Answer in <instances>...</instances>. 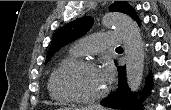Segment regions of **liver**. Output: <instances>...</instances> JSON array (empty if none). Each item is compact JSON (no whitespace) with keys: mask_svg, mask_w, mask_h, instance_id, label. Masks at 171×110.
<instances>
[{"mask_svg":"<svg viewBox=\"0 0 171 110\" xmlns=\"http://www.w3.org/2000/svg\"><path fill=\"white\" fill-rule=\"evenodd\" d=\"M96 109V110H100V107H86V108H82V109H72V108H64L65 110H93Z\"/></svg>","mask_w":171,"mask_h":110,"instance_id":"1","label":"liver"}]
</instances>
